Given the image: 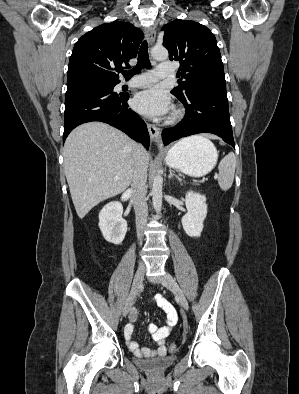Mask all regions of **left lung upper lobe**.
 I'll list each match as a JSON object with an SVG mask.
<instances>
[{
  "mask_svg": "<svg viewBox=\"0 0 299 394\" xmlns=\"http://www.w3.org/2000/svg\"><path fill=\"white\" fill-rule=\"evenodd\" d=\"M163 44L170 60L181 64L179 86L171 93L185 99L199 84H226L220 50L214 34L194 21L176 19L163 27Z\"/></svg>",
  "mask_w": 299,
  "mask_h": 394,
  "instance_id": "obj_1",
  "label": "left lung upper lobe"
}]
</instances>
